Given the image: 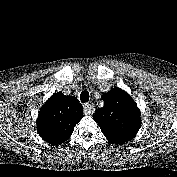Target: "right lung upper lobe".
<instances>
[{
    "instance_id": "cb5924a9",
    "label": "right lung upper lobe",
    "mask_w": 177,
    "mask_h": 177,
    "mask_svg": "<svg viewBox=\"0 0 177 177\" xmlns=\"http://www.w3.org/2000/svg\"><path fill=\"white\" fill-rule=\"evenodd\" d=\"M83 117V107L73 96L54 93L40 108L37 132L51 145L67 141Z\"/></svg>"
}]
</instances>
